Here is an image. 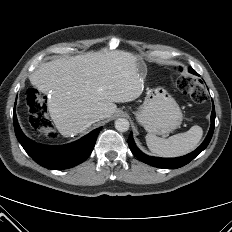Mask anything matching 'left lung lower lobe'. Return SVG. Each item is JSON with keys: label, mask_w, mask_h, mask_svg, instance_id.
<instances>
[{"label": "left lung lower lobe", "mask_w": 232, "mask_h": 232, "mask_svg": "<svg viewBox=\"0 0 232 232\" xmlns=\"http://www.w3.org/2000/svg\"><path fill=\"white\" fill-rule=\"evenodd\" d=\"M189 72L196 74V71H194L192 68L189 69ZM214 126H215V108L213 105L212 109V114H211V127L209 130V133L204 140V142L192 153L179 157V158H156V157H150L142 153L135 145L132 133L130 134L128 138V144L131 152L134 154L135 157H137L140 161L149 164L154 167H159V168H167V169H176L179 167H182L186 164H188L192 159H194L198 154H200L209 144L213 131H214Z\"/></svg>", "instance_id": "obj_1"}]
</instances>
